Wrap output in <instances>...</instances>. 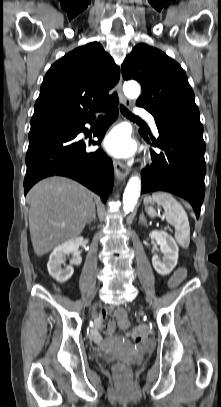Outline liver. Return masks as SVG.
I'll use <instances>...</instances> for the list:
<instances>
[{"label":"liver","mask_w":221,"mask_h":407,"mask_svg":"<svg viewBox=\"0 0 221 407\" xmlns=\"http://www.w3.org/2000/svg\"><path fill=\"white\" fill-rule=\"evenodd\" d=\"M27 199L30 237L37 256L80 235L95 206L87 188L60 176L39 181Z\"/></svg>","instance_id":"6515ba94"}]
</instances>
